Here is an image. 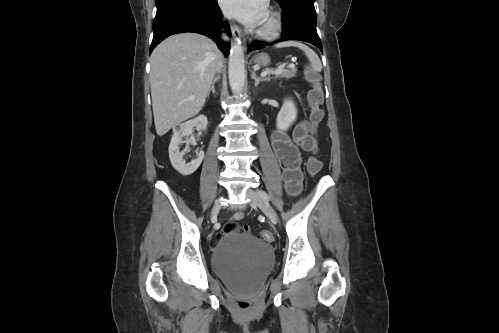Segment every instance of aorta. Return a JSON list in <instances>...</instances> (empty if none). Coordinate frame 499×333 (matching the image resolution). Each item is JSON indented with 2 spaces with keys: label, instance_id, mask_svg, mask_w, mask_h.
I'll list each match as a JSON object with an SVG mask.
<instances>
[{
  "label": "aorta",
  "instance_id": "aorta-1",
  "mask_svg": "<svg viewBox=\"0 0 499 333\" xmlns=\"http://www.w3.org/2000/svg\"><path fill=\"white\" fill-rule=\"evenodd\" d=\"M229 84L235 95L241 94L245 85V57L241 43H235L229 55Z\"/></svg>",
  "mask_w": 499,
  "mask_h": 333
}]
</instances>
